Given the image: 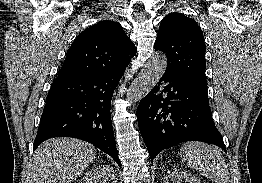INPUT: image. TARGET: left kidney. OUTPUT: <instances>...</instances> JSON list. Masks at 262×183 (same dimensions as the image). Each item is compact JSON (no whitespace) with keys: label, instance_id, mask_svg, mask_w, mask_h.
Returning a JSON list of instances; mask_svg holds the SVG:
<instances>
[{"label":"left kidney","instance_id":"5707ae66","mask_svg":"<svg viewBox=\"0 0 262 183\" xmlns=\"http://www.w3.org/2000/svg\"><path fill=\"white\" fill-rule=\"evenodd\" d=\"M164 183H203L189 172L174 168L168 171Z\"/></svg>","mask_w":262,"mask_h":183}]
</instances>
